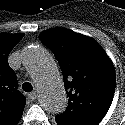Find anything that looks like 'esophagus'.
<instances>
[{
  "label": "esophagus",
  "mask_w": 125,
  "mask_h": 125,
  "mask_svg": "<svg viewBox=\"0 0 125 125\" xmlns=\"http://www.w3.org/2000/svg\"><path fill=\"white\" fill-rule=\"evenodd\" d=\"M28 98L30 100H35L37 98V92L34 91V92L29 93Z\"/></svg>",
  "instance_id": "obj_1"
}]
</instances>
